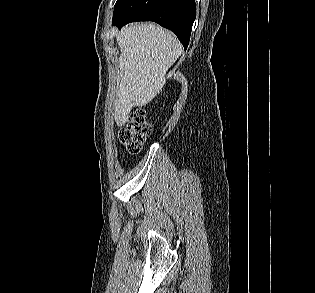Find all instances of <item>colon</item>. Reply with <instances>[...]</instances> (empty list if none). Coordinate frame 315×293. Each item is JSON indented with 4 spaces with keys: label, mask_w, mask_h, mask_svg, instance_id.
Masks as SVG:
<instances>
[{
    "label": "colon",
    "mask_w": 315,
    "mask_h": 293,
    "mask_svg": "<svg viewBox=\"0 0 315 293\" xmlns=\"http://www.w3.org/2000/svg\"><path fill=\"white\" fill-rule=\"evenodd\" d=\"M151 133V127L142 110L134 111L128 118L127 124L120 130L119 138L125 151L137 154Z\"/></svg>",
    "instance_id": "5ec220e1"
}]
</instances>
